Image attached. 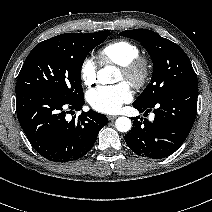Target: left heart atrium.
Here are the masks:
<instances>
[{
    "mask_svg": "<svg viewBox=\"0 0 212 212\" xmlns=\"http://www.w3.org/2000/svg\"><path fill=\"white\" fill-rule=\"evenodd\" d=\"M132 90L126 82L116 85H103L93 88L87 93L89 105L101 113H115L124 103L131 101Z\"/></svg>",
    "mask_w": 212,
    "mask_h": 212,
    "instance_id": "39dd6f15",
    "label": "left heart atrium"
}]
</instances>
